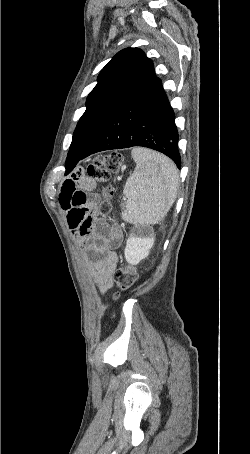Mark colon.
<instances>
[{"label": "colon", "mask_w": 250, "mask_h": 454, "mask_svg": "<svg viewBox=\"0 0 250 454\" xmlns=\"http://www.w3.org/2000/svg\"><path fill=\"white\" fill-rule=\"evenodd\" d=\"M123 157L119 152H112L108 155H101L95 162L88 166L87 175L98 182H107L112 173L117 172L122 164ZM114 190L106 186L102 190L103 201L100 203L94 214L98 218H105L110 212V199ZM139 273L135 266L125 264L114 272L113 278L120 290L131 288L138 280Z\"/></svg>", "instance_id": "5ec220e1"}]
</instances>
